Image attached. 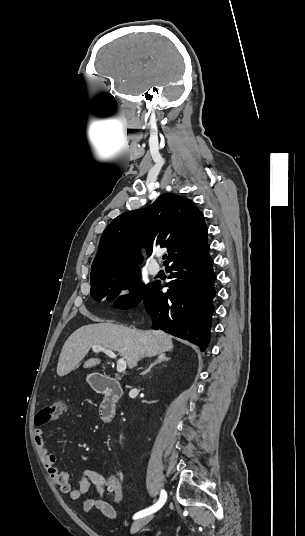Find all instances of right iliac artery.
I'll return each instance as SVG.
<instances>
[{"mask_svg": "<svg viewBox=\"0 0 305 536\" xmlns=\"http://www.w3.org/2000/svg\"><path fill=\"white\" fill-rule=\"evenodd\" d=\"M166 499H167V494H166L165 490H162L161 494H160V499L158 500V502L156 504H154L153 506L136 513L134 515L133 519L142 518L144 516H147V515H150V514L156 512L157 510H159L163 506V504L165 503Z\"/></svg>", "mask_w": 305, "mask_h": 536, "instance_id": "obj_1", "label": "right iliac artery"}]
</instances>
